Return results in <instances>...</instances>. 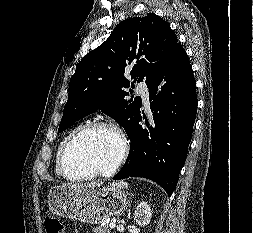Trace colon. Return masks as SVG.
Segmentation results:
<instances>
[{
  "mask_svg": "<svg viewBox=\"0 0 253 233\" xmlns=\"http://www.w3.org/2000/svg\"><path fill=\"white\" fill-rule=\"evenodd\" d=\"M44 226L46 233H65L64 225L53 215H48L45 218Z\"/></svg>",
  "mask_w": 253,
  "mask_h": 233,
  "instance_id": "1",
  "label": "colon"
}]
</instances>
